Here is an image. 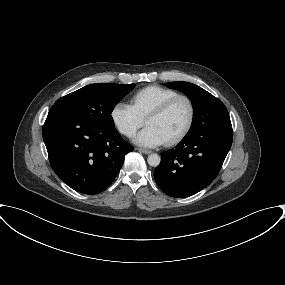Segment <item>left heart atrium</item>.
<instances>
[{
  "mask_svg": "<svg viewBox=\"0 0 285 285\" xmlns=\"http://www.w3.org/2000/svg\"><path fill=\"white\" fill-rule=\"evenodd\" d=\"M133 142L143 147L153 148L163 144L165 139L156 128L146 126L134 136Z\"/></svg>",
  "mask_w": 285,
  "mask_h": 285,
  "instance_id": "left-heart-atrium-1",
  "label": "left heart atrium"
}]
</instances>
